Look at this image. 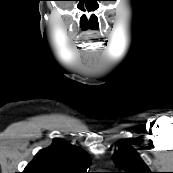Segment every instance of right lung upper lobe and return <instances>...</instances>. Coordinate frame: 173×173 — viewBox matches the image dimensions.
Segmentation results:
<instances>
[{"mask_svg": "<svg viewBox=\"0 0 173 173\" xmlns=\"http://www.w3.org/2000/svg\"><path fill=\"white\" fill-rule=\"evenodd\" d=\"M89 164L86 152L55 138L51 146L36 154L23 173H87L85 170Z\"/></svg>", "mask_w": 173, "mask_h": 173, "instance_id": "obj_1", "label": "right lung upper lobe"}]
</instances>
